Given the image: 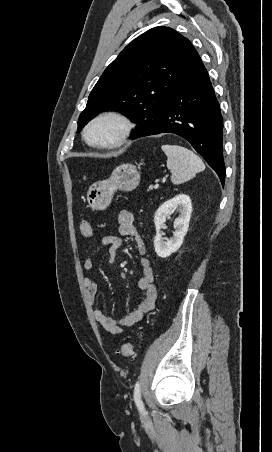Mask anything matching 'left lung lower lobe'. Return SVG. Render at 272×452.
Listing matches in <instances>:
<instances>
[{"label":"left lung lower lobe","instance_id":"left-lung-lower-lobe-1","mask_svg":"<svg viewBox=\"0 0 272 452\" xmlns=\"http://www.w3.org/2000/svg\"><path fill=\"white\" fill-rule=\"evenodd\" d=\"M162 132L175 133L188 140L224 185L223 118L198 53L174 87L159 120L147 128L137 129L130 138Z\"/></svg>","mask_w":272,"mask_h":452}]
</instances>
